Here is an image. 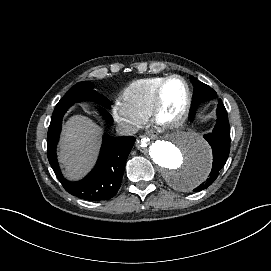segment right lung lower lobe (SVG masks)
I'll return each instance as SVG.
<instances>
[{
  "label": "right lung lower lobe",
  "mask_w": 271,
  "mask_h": 271,
  "mask_svg": "<svg viewBox=\"0 0 271 271\" xmlns=\"http://www.w3.org/2000/svg\"><path fill=\"white\" fill-rule=\"evenodd\" d=\"M70 106L56 108L53 112L47 134L49 163L64 189L70 194L88 201L111 199L120 188L126 160L135 138H115L104 135L100 155L94 169L80 181H68L63 177L57 163L56 145L59 140L63 115ZM102 114L108 123H112V117L106 110L102 109Z\"/></svg>",
  "instance_id": "1"
}]
</instances>
